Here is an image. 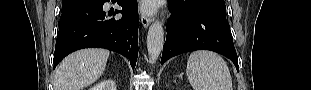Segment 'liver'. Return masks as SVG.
Listing matches in <instances>:
<instances>
[{"label":"liver","mask_w":311,"mask_h":90,"mask_svg":"<svg viewBox=\"0 0 311 90\" xmlns=\"http://www.w3.org/2000/svg\"><path fill=\"white\" fill-rule=\"evenodd\" d=\"M109 51L84 49L64 58L54 78V90H82L94 83L104 72Z\"/></svg>","instance_id":"liver-1"}]
</instances>
